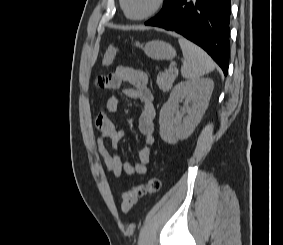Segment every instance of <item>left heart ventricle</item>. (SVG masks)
Returning <instances> with one entry per match:
<instances>
[{
	"instance_id": "obj_1",
	"label": "left heart ventricle",
	"mask_w": 283,
	"mask_h": 245,
	"mask_svg": "<svg viewBox=\"0 0 283 245\" xmlns=\"http://www.w3.org/2000/svg\"><path fill=\"white\" fill-rule=\"evenodd\" d=\"M156 0H125L127 12L132 16H140L150 11Z\"/></svg>"
}]
</instances>
